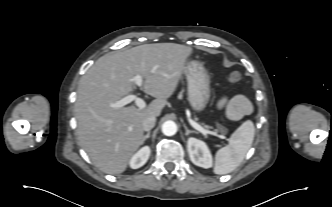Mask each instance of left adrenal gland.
Here are the masks:
<instances>
[{"mask_svg":"<svg viewBox=\"0 0 332 207\" xmlns=\"http://www.w3.org/2000/svg\"><path fill=\"white\" fill-rule=\"evenodd\" d=\"M183 126H184L185 131H186V132H185V135H186V136H188L190 133H196V131L189 130L185 124H184Z\"/></svg>","mask_w":332,"mask_h":207,"instance_id":"a2214340","label":"left adrenal gland"}]
</instances>
